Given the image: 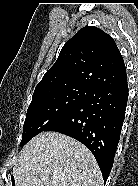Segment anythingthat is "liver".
Instances as JSON below:
<instances>
[{
    "instance_id": "liver-1",
    "label": "liver",
    "mask_w": 138,
    "mask_h": 186,
    "mask_svg": "<svg viewBox=\"0 0 138 186\" xmlns=\"http://www.w3.org/2000/svg\"><path fill=\"white\" fill-rule=\"evenodd\" d=\"M16 186H102L90 150L58 132H42L21 150L13 167Z\"/></svg>"
}]
</instances>
